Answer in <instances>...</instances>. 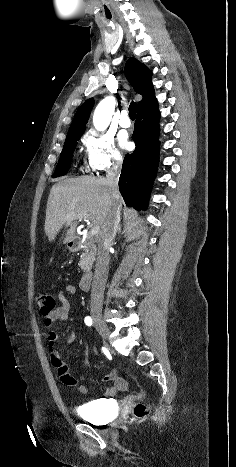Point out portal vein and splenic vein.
<instances>
[{
  "label": "portal vein and splenic vein",
  "instance_id": "obj_1",
  "mask_svg": "<svg viewBox=\"0 0 236 467\" xmlns=\"http://www.w3.org/2000/svg\"><path fill=\"white\" fill-rule=\"evenodd\" d=\"M68 218L70 219L71 216H68ZM89 219V216H84L83 218H80V221L81 220H88ZM99 230H100V227L99 226H93L90 230V234L91 235H96L99 233Z\"/></svg>",
  "mask_w": 236,
  "mask_h": 467
}]
</instances>
